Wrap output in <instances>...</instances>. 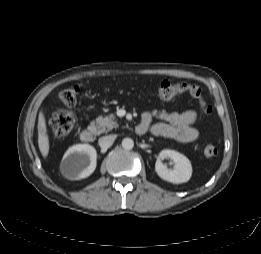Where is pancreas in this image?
Returning <instances> with one entry per match:
<instances>
[{
	"label": "pancreas",
	"instance_id": "cf45deb5",
	"mask_svg": "<svg viewBox=\"0 0 261 254\" xmlns=\"http://www.w3.org/2000/svg\"><path fill=\"white\" fill-rule=\"evenodd\" d=\"M118 126L117 121L115 120L114 115L109 116H99L95 121L91 122L90 127L96 134H101L112 130Z\"/></svg>",
	"mask_w": 261,
	"mask_h": 254
}]
</instances>
